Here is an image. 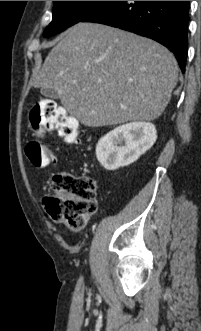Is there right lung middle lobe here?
<instances>
[{"mask_svg": "<svg viewBox=\"0 0 201 331\" xmlns=\"http://www.w3.org/2000/svg\"><path fill=\"white\" fill-rule=\"evenodd\" d=\"M107 1H54L52 22L44 31L45 37L53 36L81 22Z\"/></svg>", "mask_w": 201, "mask_h": 331, "instance_id": "dd1d6c3e", "label": "right lung middle lobe"}]
</instances>
